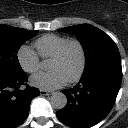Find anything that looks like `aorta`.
I'll list each match as a JSON object with an SVG mask.
<instances>
[{
    "mask_svg": "<svg viewBox=\"0 0 128 128\" xmlns=\"http://www.w3.org/2000/svg\"><path fill=\"white\" fill-rule=\"evenodd\" d=\"M51 105L56 109H63L67 104V97L62 92H54L51 96Z\"/></svg>",
    "mask_w": 128,
    "mask_h": 128,
    "instance_id": "1",
    "label": "aorta"
}]
</instances>
